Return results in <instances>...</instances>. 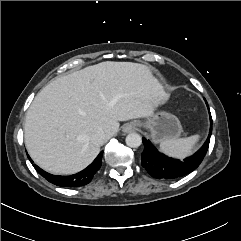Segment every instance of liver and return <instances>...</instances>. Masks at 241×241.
Listing matches in <instances>:
<instances>
[{
	"mask_svg": "<svg viewBox=\"0 0 241 241\" xmlns=\"http://www.w3.org/2000/svg\"><path fill=\"white\" fill-rule=\"evenodd\" d=\"M148 66L106 61L58 77L34 98L25 119V145L45 171L69 175L86 168L100 152L96 131L106 140L119 122L149 117L163 101Z\"/></svg>",
	"mask_w": 241,
	"mask_h": 241,
	"instance_id": "liver-1",
	"label": "liver"
}]
</instances>
